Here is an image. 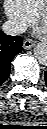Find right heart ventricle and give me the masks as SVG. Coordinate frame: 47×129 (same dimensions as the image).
<instances>
[{
  "label": "right heart ventricle",
  "instance_id": "obj_1",
  "mask_svg": "<svg viewBox=\"0 0 47 129\" xmlns=\"http://www.w3.org/2000/svg\"><path fill=\"white\" fill-rule=\"evenodd\" d=\"M20 2L32 15L35 16L36 13L41 9L45 0H20Z\"/></svg>",
  "mask_w": 47,
  "mask_h": 129
}]
</instances>
